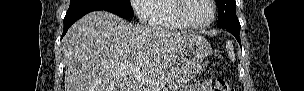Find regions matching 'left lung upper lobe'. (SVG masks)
Wrapping results in <instances>:
<instances>
[{"label": "left lung upper lobe", "instance_id": "left-lung-upper-lobe-1", "mask_svg": "<svg viewBox=\"0 0 304 91\" xmlns=\"http://www.w3.org/2000/svg\"><path fill=\"white\" fill-rule=\"evenodd\" d=\"M218 6L219 18L217 27L219 28H239L240 23L236 16L235 0H215Z\"/></svg>", "mask_w": 304, "mask_h": 91}]
</instances>
